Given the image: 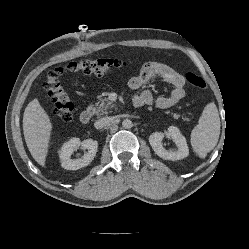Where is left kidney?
<instances>
[{"label":"left kidney","mask_w":249,"mask_h":249,"mask_svg":"<svg viewBox=\"0 0 249 249\" xmlns=\"http://www.w3.org/2000/svg\"><path fill=\"white\" fill-rule=\"evenodd\" d=\"M168 136L174 141L178 149L176 151H167L162 145L164 133L155 132L149 136V143L154 152L165 160L174 161L187 157L189 154V149L186 138L181 134L180 130L175 126H170L168 128Z\"/></svg>","instance_id":"5707ae66"}]
</instances>
